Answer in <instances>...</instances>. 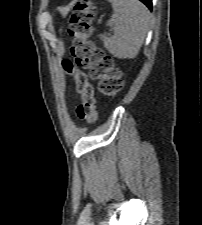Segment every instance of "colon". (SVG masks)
Segmentation results:
<instances>
[{"mask_svg": "<svg viewBox=\"0 0 202 225\" xmlns=\"http://www.w3.org/2000/svg\"><path fill=\"white\" fill-rule=\"evenodd\" d=\"M93 4L89 0L78 2L74 8L69 33L72 38V60L63 64L73 73L81 103L78 117L87 123L97 120L95 91L90 79L98 81L99 92L106 97L116 96L123 88L122 72L114 59L90 40L94 20Z\"/></svg>", "mask_w": 202, "mask_h": 225, "instance_id": "obj_1", "label": "colon"}]
</instances>
